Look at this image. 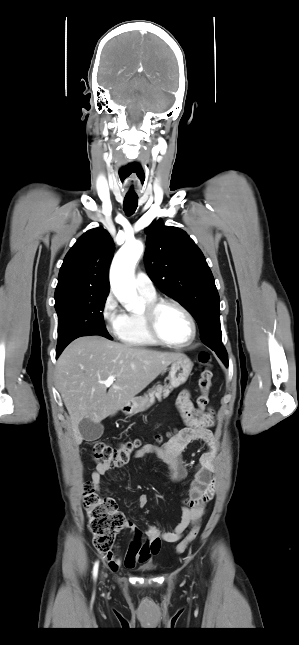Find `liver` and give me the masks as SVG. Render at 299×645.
Listing matches in <instances>:
<instances>
[{
	"mask_svg": "<svg viewBox=\"0 0 299 645\" xmlns=\"http://www.w3.org/2000/svg\"><path fill=\"white\" fill-rule=\"evenodd\" d=\"M182 356L100 336L71 342L57 360L55 382L70 415L75 444L83 440L79 431L83 419L100 423L115 415ZM112 375L114 383L105 386L102 382Z\"/></svg>",
	"mask_w": 299,
	"mask_h": 645,
	"instance_id": "obj_1",
	"label": "liver"
}]
</instances>
